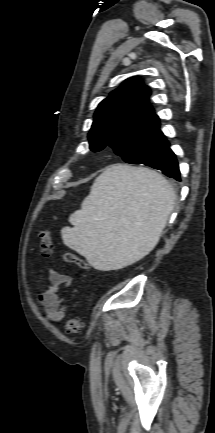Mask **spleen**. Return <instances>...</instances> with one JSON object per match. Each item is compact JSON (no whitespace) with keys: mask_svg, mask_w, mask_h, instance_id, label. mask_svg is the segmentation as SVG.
I'll return each mask as SVG.
<instances>
[{"mask_svg":"<svg viewBox=\"0 0 215 433\" xmlns=\"http://www.w3.org/2000/svg\"><path fill=\"white\" fill-rule=\"evenodd\" d=\"M175 200L173 187L159 173L112 165L70 215L73 228L61 230L63 243L98 270L123 268L156 246Z\"/></svg>","mask_w":215,"mask_h":433,"instance_id":"spleen-1","label":"spleen"}]
</instances>
